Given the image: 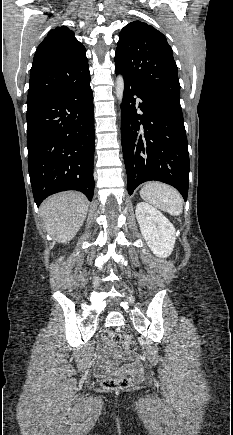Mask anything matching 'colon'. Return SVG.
Listing matches in <instances>:
<instances>
[{"mask_svg": "<svg viewBox=\"0 0 233 435\" xmlns=\"http://www.w3.org/2000/svg\"><path fill=\"white\" fill-rule=\"evenodd\" d=\"M102 337L104 339H111L114 344L121 345L126 351H133L135 349L134 340L128 334L120 333L111 335L109 331H104ZM130 382L131 377L123 374L118 377L103 380L102 386L109 390H123L130 385Z\"/></svg>", "mask_w": 233, "mask_h": 435, "instance_id": "1", "label": "colon"}]
</instances>
